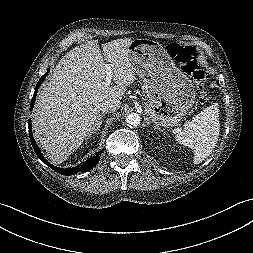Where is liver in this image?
<instances>
[{
	"instance_id": "liver-1",
	"label": "liver",
	"mask_w": 253,
	"mask_h": 253,
	"mask_svg": "<svg viewBox=\"0 0 253 253\" xmlns=\"http://www.w3.org/2000/svg\"><path fill=\"white\" fill-rule=\"evenodd\" d=\"M129 38L102 44L88 41L58 62L39 93L32 118L36 142L52 163L64 162L96 127L103 101L122 99L136 80ZM110 63L115 86L106 85L105 63Z\"/></svg>"
}]
</instances>
